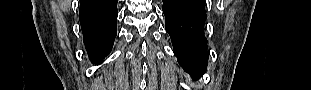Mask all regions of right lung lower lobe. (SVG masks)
<instances>
[{
    "label": "right lung lower lobe",
    "instance_id": "1",
    "mask_svg": "<svg viewBox=\"0 0 311 90\" xmlns=\"http://www.w3.org/2000/svg\"><path fill=\"white\" fill-rule=\"evenodd\" d=\"M118 0H80L83 41L92 62L98 63L112 49L117 34Z\"/></svg>",
    "mask_w": 311,
    "mask_h": 90
}]
</instances>
